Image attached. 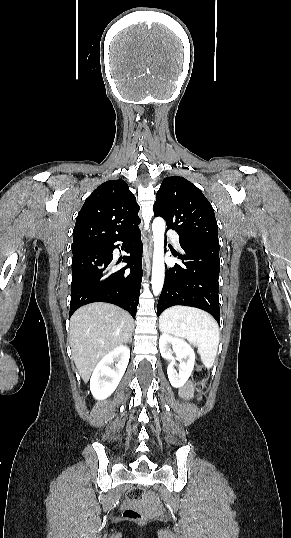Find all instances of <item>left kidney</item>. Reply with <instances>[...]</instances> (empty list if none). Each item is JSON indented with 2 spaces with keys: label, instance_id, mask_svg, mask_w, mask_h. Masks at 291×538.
I'll return each mask as SVG.
<instances>
[{
  "label": "left kidney",
  "instance_id": "1",
  "mask_svg": "<svg viewBox=\"0 0 291 538\" xmlns=\"http://www.w3.org/2000/svg\"><path fill=\"white\" fill-rule=\"evenodd\" d=\"M159 348L162 357L170 363L167 367L169 381L173 387H182L189 379L195 365V352L186 341L175 338L169 334L163 333L159 339ZM176 354V358L172 355ZM175 359H178V372L174 366L177 365Z\"/></svg>",
  "mask_w": 291,
  "mask_h": 538
}]
</instances>
